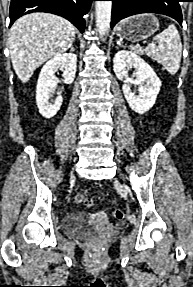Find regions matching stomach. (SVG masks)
Instances as JSON below:
<instances>
[{
    "mask_svg": "<svg viewBox=\"0 0 193 287\" xmlns=\"http://www.w3.org/2000/svg\"><path fill=\"white\" fill-rule=\"evenodd\" d=\"M159 28L158 19L152 14H140L130 17L117 26L119 37L138 42L152 36Z\"/></svg>",
    "mask_w": 193,
    "mask_h": 287,
    "instance_id": "1",
    "label": "stomach"
}]
</instances>
